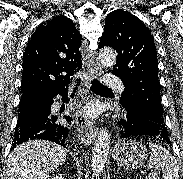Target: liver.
<instances>
[{
    "label": "liver",
    "instance_id": "liver-1",
    "mask_svg": "<svg viewBox=\"0 0 183 179\" xmlns=\"http://www.w3.org/2000/svg\"><path fill=\"white\" fill-rule=\"evenodd\" d=\"M66 160V152L53 142L30 140L9 155L6 179H47Z\"/></svg>",
    "mask_w": 183,
    "mask_h": 179
}]
</instances>
